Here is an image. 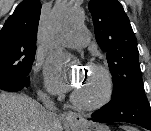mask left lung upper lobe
<instances>
[{
  "instance_id": "1",
  "label": "left lung upper lobe",
  "mask_w": 151,
  "mask_h": 131,
  "mask_svg": "<svg viewBox=\"0 0 151 131\" xmlns=\"http://www.w3.org/2000/svg\"><path fill=\"white\" fill-rule=\"evenodd\" d=\"M95 37L113 76L116 98L134 86H143L137 40L122 5L117 0H90Z\"/></svg>"
}]
</instances>
